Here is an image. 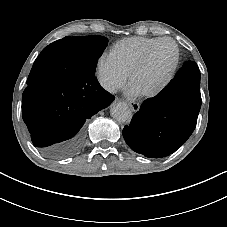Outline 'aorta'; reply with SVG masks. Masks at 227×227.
<instances>
[{"instance_id":"1","label":"aorta","mask_w":227,"mask_h":227,"mask_svg":"<svg viewBox=\"0 0 227 227\" xmlns=\"http://www.w3.org/2000/svg\"><path fill=\"white\" fill-rule=\"evenodd\" d=\"M110 114L118 123H127L132 119V112L127 103H113L110 107Z\"/></svg>"}]
</instances>
